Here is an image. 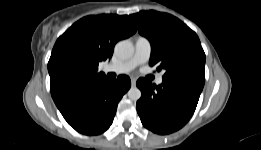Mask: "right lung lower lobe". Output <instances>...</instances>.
Instances as JSON below:
<instances>
[{"mask_svg": "<svg viewBox=\"0 0 261 150\" xmlns=\"http://www.w3.org/2000/svg\"><path fill=\"white\" fill-rule=\"evenodd\" d=\"M128 76L106 79L92 87L74 92L56 103L65 120L78 132L97 135L113 122L117 105L128 91Z\"/></svg>", "mask_w": 261, "mask_h": 150, "instance_id": "obj_1", "label": "right lung lower lobe"}]
</instances>
